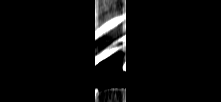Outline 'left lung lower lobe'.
Returning <instances> with one entry per match:
<instances>
[{
  "label": "left lung lower lobe",
  "instance_id": "left-lung-lower-lobe-1",
  "mask_svg": "<svg viewBox=\"0 0 221 102\" xmlns=\"http://www.w3.org/2000/svg\"><path fill=\"white\" fill-rule=\"evenodd\" d=\"M142 68L138 59L134 58V51L126 46L111 58L94 62L93 66L84 74L82 83L89 86L137 87L142 77Z\"/></svg>",
  "mask_w": 221,
  "mask_h": 102
}]
</instances>
